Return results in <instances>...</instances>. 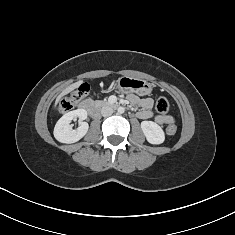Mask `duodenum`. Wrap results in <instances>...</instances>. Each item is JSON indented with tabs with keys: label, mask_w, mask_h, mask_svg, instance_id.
Masks as SVG:
<instances>
[{
	"label": "duodenum",
	"mask_w": 235,
	"mask_h": 235,
	"mask_svg": "<svg viewBox=\"0 0 235 235\" xmlns=\"http://www.w3.org/2000/svg\"><path fill=\"white\" fill-rule=\"evenodd\" d=\"M115 107H118V105H115ZM80 108L84 111H87L92 116H96L98 114V107L89 100L83 101L80 104Z\"/></svg>",
	"instance_id": "1"
}]
</instances>
